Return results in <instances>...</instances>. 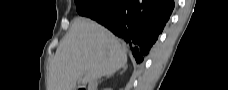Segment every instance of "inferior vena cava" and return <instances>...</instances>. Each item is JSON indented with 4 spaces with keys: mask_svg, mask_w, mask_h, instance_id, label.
<instances>
[{
    "mask_svg": "<svg viewBox=\"0 0 228 90\" xmlns=\"http://www.w3.org/2000/svg\"><path fill=\"white\" fill-rule=\"evenodd\" d=\"M97 84H98L97 78L93 79V80L90 82V85H91V86H94V87H96Z\"/></svg>",
    "mask_w": 228,
    "mask_h": 90,
    "instance_id": "1",
    "label": "inferior vena cava"
}]
</instances>
